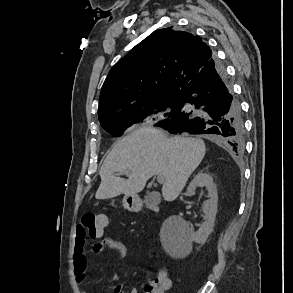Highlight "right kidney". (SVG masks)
<instances>
[{
  "label": "right kidney",
  "mask_w": 293,
  "mask_h": 293,
  "mask_svg": "<svg viewBox=\"0 0 293 293\" xmlns=\"http://www.w3.org/2000/svg\"><path fill=\"white\" fill-rule=\"evenodd\" d=\"M202 186H205L208 191V200L205 201L202 206L205 214L204 222L201 224L198 231L193 232L189 228L187 222L177 218L176 221L179 223V225L176 226L177 237H171L170 235L167 236L165 226H163L160 238L162 246L167 253L171 254L181 247H190L193 241L199 244H204L213 231L217 213L218 194L212 177L207 173H198L187 187L186 194L192 196L196 188Z\"/></svg>",
  "instance_id": "right-kidney-1"
}]
</instances>
